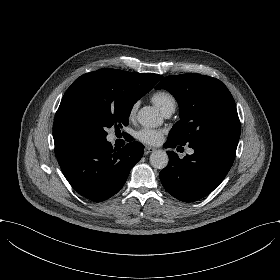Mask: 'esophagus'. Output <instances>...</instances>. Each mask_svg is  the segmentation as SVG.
Listing matches in <instances>:
<instances>
[{"mask_svg":"<svg viewBox=\"0 0 280 280\" xmlns=\"http://www.w3.org/2000/svg\"><path fill=\"white\" fill-rule=\"evenodd\" d=\"M155 148L153 147H145L144 148V155H148L149 153L153 152Z\"/></svg>","mask_w":280,"mask_h":280,"instance_id":"obj_1","label":"esophagus"}]
</instances>
